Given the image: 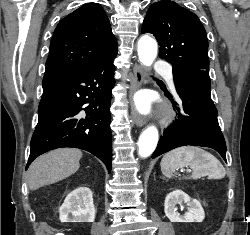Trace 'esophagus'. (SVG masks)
Segmentation results:
<instances>
[{"label":"esophagus","mask_w":250,"mask_h":235,"mask_svg":"<svg viewBox=\"0 0 250 235\" xmlns=\"http://www.w3.org/2000/svg\"><path fill=\"white\" fill-rule=\"evenodd\" d=\"M144 83V71L139 64H135L133 68V81L131 83V95H133ZM131 118L138 127H142L146 119L133 106L131 111Z\"/></svg>","instance_id":"1"}]
</instances>
